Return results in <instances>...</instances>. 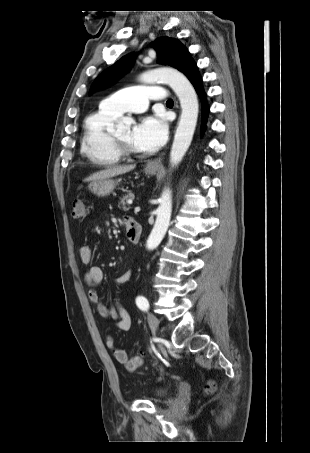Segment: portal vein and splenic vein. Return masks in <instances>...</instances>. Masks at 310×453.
<instances>
[{
  "mask_svg": "<svg viewBox=\"0 0 310 453\" xmlns=\"http://www.w3.org/2000/svg\"><path fill=\"white\" fill-rule=\"evenodd\" d=\"M129 204H132V200H129L128 201ZM135 212H139L140 211V207H135Z\"/></svg>",
  "mask_w": 310,
  "mask_h": 453,
  "instance_id": "portal-vein-and-splenic-vein-1",
  "label": "portal vein and splenic vein"
}]
</instances>
